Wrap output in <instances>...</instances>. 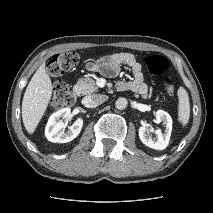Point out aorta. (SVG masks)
<instances>
[{
    "instance_id": "1",
    "label": "aorta",
    "mask_w": 213,
    "mask_h": 213,
    "mask_svg": "<svg viewBox=\"0 0 213 213\" xmlns=\"http://www.w3.org/2000/svg\"><path fill=\"white\" fill-rule=\"evenodd\" d=\"M127 100L126 98H118L115 102V106L118 110H124L127 107Z\"/></svg>"
}]
</instances>
